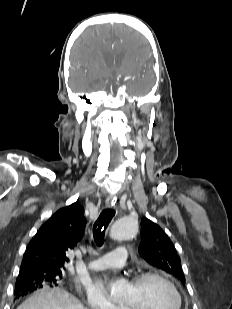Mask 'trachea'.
Listing matches in <instances>:
<instances>
[{
	"label": "trachea",
	"instance_id": "obj_1",
	"mask_svg": "<svg viewBox=\"0 0 232 309\" xmlns=\"http://www.w3.org/2000/svg\"><path fill=\"white\" fill-rule=\"evenodd\" d=\"M114 215L115 210L113 209L103 210L98 219L95 221L93 225V236L97 245L100 246L103 244L105 231Z\"/></svg>",
	"mask_w": 232,
	"mask_h": 309
}]
</instances>
